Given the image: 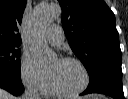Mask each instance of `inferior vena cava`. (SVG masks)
Returning <instances> with one entry per match:
<instances>
[{
    "label": "inferior vena cava",
    "mask_w": 128,
    "mask_h": 99,
    "mask_svg": "<svg viewBox=\"0 0 128 99\" xmlns=\"http://www.w3.org/2000/svg\"><path fill=\"white\" fill-rule=\"evenodd\" d=\"M23 99H41V97L33 86H27Z\"/></svg>",
    "instance_id": "obj_1"
}]
</instances>
